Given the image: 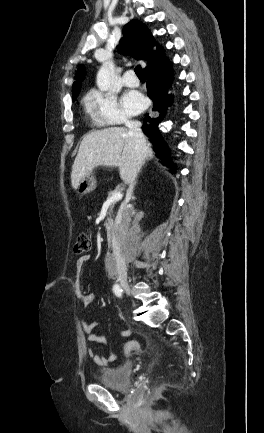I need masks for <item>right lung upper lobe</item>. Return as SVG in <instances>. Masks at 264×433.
Here are the masks:
<instances>
[{
  "mask_svg": "<svg viewBox=\"0 0 264 433\" xmlns=\"http://www.w3.org/2000/svg\"><path fill=\"white\" fill-rule=\"evenodd\" d=\"M123 34L124 37L117 46L118 52L130 54L137 59L146 61L148 65L144 71L168 59L164 54L163 48L157 44L147 26L139 20L133 19L126 24ZM84 76L85 68L84 66H80L75 76L76 81L73 84V98L78 96Z\"/></svg>",
  "mask_w": 264,
  "mask_h": 433,
  "instance_id": "1",
  "label": "right lung upper lobe"
}]
</instances>
